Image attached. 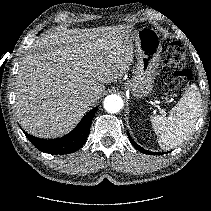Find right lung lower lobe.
<instances>
[{
    "label": "right lung lower lobe",
    "instance_id": "obj_1",
    "mask_svg": "<svg viewBox=\"0 0 211 211\" xmlns=\"http://www.w3.org/2000/svg\"><path fill=\"white\" fill-rule=\"evenodd\" d=\"M97 107L89 111L79 122L77 127L64 137L44 140L25 133L30 142L40 151L50 154H68L79 150L88 137L90 125Z\"/></svg>",
    "mask_w": 211,
    "mask_h": 211
}]
</instances>
